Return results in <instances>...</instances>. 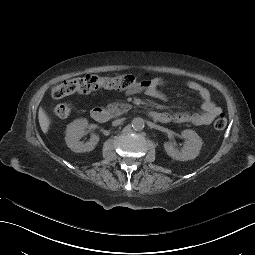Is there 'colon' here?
<instances>
[{
    "label": "colon",
    "instance_id": "obj_1",
    "mask_svg": "<svg viewBox=\"0 0 255 255\" xmlns=\"http://www.w3.org/2000/svg\"><path fill=\"white\" fill-rule=\"evenodd\" d=\"M141 81L132 74H121L117 76H98L87 75L83 78L64 81L51 91V95L55 99H61L73 93H89L103 89H129ZM72 105L69 102L57 104L53 112L57 117L66 118L71 114ZM227 126V118L224 114L219 115L214 121L216 130H223Z\"/></svg>",
    "mask_w": 255,
    "mask_h": 255
}]
</instances>
